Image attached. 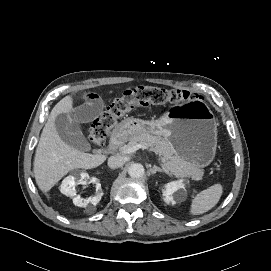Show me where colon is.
Instances as JSON below:
<instances>
[{"label": "colon", "instance_id": "5ec220e1", "mask_svg": "<svg viewBox=\"0 0 271 271\" xmlns=\"http://www.w3.org/2000/svg\"><path fill=\"white\" fill-rule=\"evenodd\" d=\"M195 97L185 91L148 86L127 91L123 97L116 99L100 116L94 119L89 131V140L94 145H102L115 122L136 105H164Z\"/></svg>", "mask_w": 271, "mask_h": 271}]
</instances>
